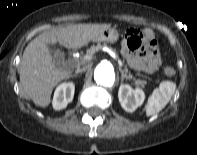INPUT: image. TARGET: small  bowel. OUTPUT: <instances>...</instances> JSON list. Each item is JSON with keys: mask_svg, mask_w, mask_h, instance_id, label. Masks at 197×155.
I'll return each mask as SVG.
<instances>
[{"mask_svg": "<svg viewBox=\"0 0 197 155\" xmlns=\"http://www.w3.org/2000/svg\"><path fill=\"white\" fill-rule=\"evenodd\" d=\"M145 32L148 36H152L151 32ZM122 54L126 59L127 64L132 69L139 72H154L161 66L160 55L155 45L150 46V50L147 52L135 55L131 52L125 37L122 47Z\"/></svg>", "mask_w": 197, "mask_h": 155, "instance_id": "small-bowel-1", "label": "small bowel"}]
</instances>
